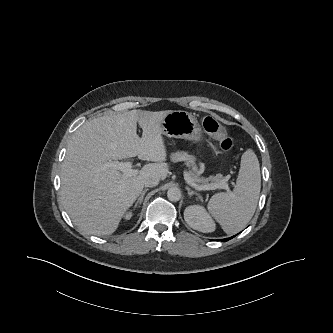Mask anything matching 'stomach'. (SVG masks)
<instances>
[{"label": "stomach", "mask_w": 333, "mask_h": 333, "mask_svg": "<svg viewBox=\"0 0 333 333\" xmlns=\"http://www.w3.org/2000/svg\"><path fill=\"white\" fill-rule=\"evenodd\" d=\"M163 134L168 137L181 138L199 143L203 132L195 116L183 110L168 113L161 123Z\"/></svg>", "instance_id": "obj_1"}]
</instances>
